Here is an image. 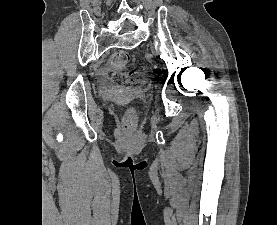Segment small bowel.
Listing matches in <instances>:
<instances>
[{
	"mask_svg": "<svg viewBox=\"0 0 277 225\" xmlns=\"http://www.w3.org/2000/svg\"><path fill=\"white\" fill-rule=\"evenodd\" d=\"M106 79L108 80V79H109V77H108V76H106Z\"/></svg>",
	"mask_w": 277,
	"mask_h": 225,
	"instance_id": "1",
	"label": "small bowel"
}]
</instances>
